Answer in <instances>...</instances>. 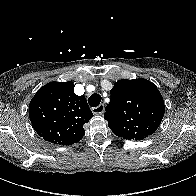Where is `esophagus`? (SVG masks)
<instances>
[{"label":"esophagus","mask_w":196,"mask_h":196,"mask_svg":"<svg viewBox=\"0 0 196 196\" xmlns=\"http://www.w3.org/2000/svg\"><path fill=\"white\" fill-rule=\"evenodd\" d=\"M104 104H99L97 107L92 108V112L95 115H102L104 113Z\"/></svg>","instance_id":"obj_1"}]
</instances>
